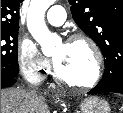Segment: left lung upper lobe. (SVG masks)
I'll return each instance as SVG.
<instances>
[{"instance_id": "obj_1", "label": "left lung upper lobe", "mask_w": 123, "mask_h": 113, "mask_svg": "<svg viewBox=\"0 0 123 113\" xmlns=\"http://www.w3.org/2000/svg\"><path fill=\"white\" fill-rule=\"evenodd\" d=\"M77 25L102 51L105 72L99 83L123 80V0H69Z\"/></svg>"}]
</instances>
